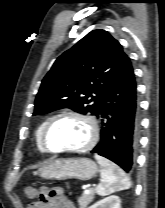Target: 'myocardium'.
<instances>
[{"label":"myocardium","instance_id":"f54148a6","mask_svg":"<svg viewBox=\"0 0 165 208\" xmlns=\"http://www.w3.org/2000/svg\"><path fill=\"white\" fill-rule=\"evenodd\" d=\"M64 118H76L83 120L89 127L90 130V137L86 144L81 147L77 148H70V149H53L49 147L47 143V135L50 129L60 120ZM99 138V128L96 120L85 113L75 112V111H66L55 115L51 118L46 126L44 127L42 134H41V143L46 152L54 153V154H64V153H82L92 149L95 144L97 143Z\"/></svg>","mask_w":165,"mask_h":208}]
</instances>
